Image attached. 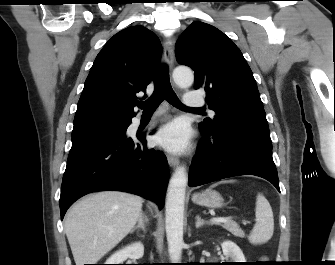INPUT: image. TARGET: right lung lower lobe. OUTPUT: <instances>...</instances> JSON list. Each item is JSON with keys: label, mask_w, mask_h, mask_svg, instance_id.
Here are the masks:
<instances>
[{"label": "right lung lower lobe", "mask_w": 335, "mask_h": 265, "mask_svg": "<svg viewBox=\"0 0 335 265\" xmlns=\"http://www.w3.org/2000/svg\"><path fill=\"white\" fill-rule=\"evenodd\" d=\"M168 173L165 155L146 148L145 134L72 143L61 186V219L78 198L103 190L134 193L162 209Z\"/></svg>", "instance_id": "right-lung-lower-lobe-1"}]
</instances>
